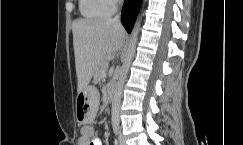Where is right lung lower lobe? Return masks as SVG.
<instances>
[{
	"label": "right lung lower lobe",
	"mask_w": 243,
	"mask_h": 145,
	"mask_svg": "<svg viewBox=\"0 0 243 145\" xmlns=\"http://www.w3.org/2000/svg\"><path fill=\"white\" fill-rule=\"evenodd\" d=\"M142 0H125L121 20L128 33H131Z\"/></svg>",
	"instance_id": "right-lung-lower-lobe-1"
}]
</instances>
